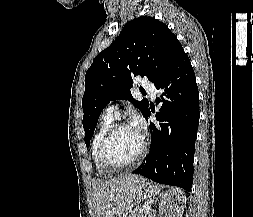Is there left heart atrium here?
<instances>
[{
  "label": "left heart atrium",
  "mask_w": 253,
  "mask_h": 217,
  "mask_svg": "<svg viewBox=\"0 0 253 217\" xmlns=\"http://www.w3.org/2000/svg\"><path fill=\"white\" fill-rule=\"evenodd\" d=\"M131 126L142 133V130L144 129V122L140 116L135 115L132 118Z\"/></svg>",
  "instance_id": "1"
}]
</instances>
